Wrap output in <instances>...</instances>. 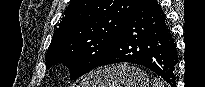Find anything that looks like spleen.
<instances>
[{
	"instance_id": "spleen-1",
	"label": "spleen",
	"mask_w": 205,
	"mask_h": 87,
	"mask_svg": "<svg viewBox=\"0 0 205 87\" xmlns=\"http://www.w3.org/2000/svg\"><path fill=\"white\" fill-rule=\"evenodd\" d=\"M153 87H164V84L161 81H159L158 79H154Z\"/></svg>"
}]
</instances>
